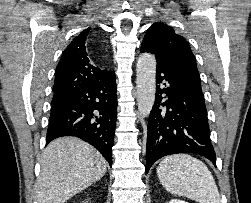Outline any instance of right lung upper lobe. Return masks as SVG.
Segmentation results:
<instances>
[{
  "instance_id": "obj_1",
  "label": "right lung upper lobe",
  "mask_w": 251,
  "mask_h": 203,
  "mask_svg": "<svg viewBox=\"0 0 251 203\" xmlns=\"http://www.w3.org/2000/svg\"><path fill=\"white\" fill-rule=\"evenodd\" d=\"M90 27L73 39L57 65L52 102L61 100L87 83L101 80L111 72L95 67L86 46Z\"/></svg>"
}]
</instances>
